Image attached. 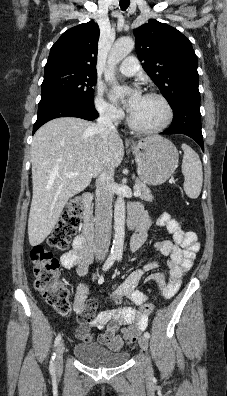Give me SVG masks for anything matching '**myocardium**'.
<instances>
[{"label":"myocardium","instance_id":"obj_1","mask_svg":"<svg viewBox=\"0 0 227 396\" xmlns=\"http://www.w3.org/2000/svg\"><path fill=\"white\" fill-rule=\"evenodd\" d=\"M145 96L156 98L162 103V105L165 109V112H166L164 121L155 127H142V126L136 124L135 121L133 120L131 114H129L127 117L128 125L131 129H133L134 131H137L139 133H144V134L159 133V132L165 130L172 123L173 117H174L173 108H172L170 102L168 101V99L161 93L150 91V92H147L145 94Z\"/></svg>","mask_w":227,"mask_h":396}]
</instances>
